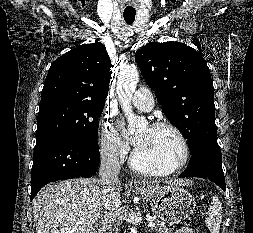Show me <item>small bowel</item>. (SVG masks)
Returning <instances> with one entry per match:
<instances>
[{
	"label": "small bowel",
	"instance_id": "c3829d8e",
	"mask_svg": "<svg viewBox=\"0 0 253 233\" xmlns=\"http://www.w3.org/2000/svg\"><path fill=\"white\" fill-rule=\"evenodd\" d=\"M175 233H193V231L190 228L184 227L176 231Z\"/></svg>",
	"mask_w": 253,
	"mask_h": 233
}]
</instances>
